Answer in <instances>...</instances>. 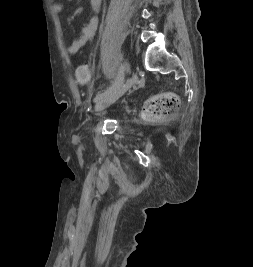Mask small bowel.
I'll return each instance as SVG.
<instances>
[{
	"mask_svg": "<svg viewBox=\"0 0 253 267\" xmlns=\"http://www.w3.org/2000/svg\"><path fill=\"white\" fill-rule=\"evenodd\" d=\"M92 14L88 21L80 27L79 37L71 41L67 47L69 54H76L88 41H90L98 27V13L100 10L101 0H90ZM52 10L56 15L61 14L63 6L60 3H55Z\"/></svg>",
	"mask_w": 253,
	"mask_h": 267,
	"instance_id": "obj_1",
	"label": "small bowel"
}]
</instances>
